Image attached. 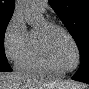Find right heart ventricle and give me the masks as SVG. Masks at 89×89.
<instances>
[{"label": "right heart ventricle", "instance_id": "right-heart-ventricle-1", "mask_svg": "<svg viewBox=\"0 0 89 89\" xmlns=\"http://www.w3.org/2000/svg\"><path fill=\"white\" fill-rule=\"evenodd\" d=\"M17 67L28 74L46 76V77H61L60 74L53 71L43 56L38 39V30L32 29L29 32V43L23 56L17 62Z\"/></svg>", "mask_w": 89, "mask_h": 89}]
</instances>
